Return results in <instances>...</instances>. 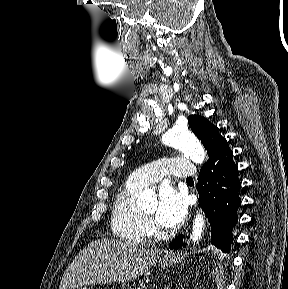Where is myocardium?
Segmentation results:
<instances>
[{"mask_svg": "<svg viewBox=\"0 0 288 289\" xmlns=\"http://www.w3.org/2000/svg\"><path fill=\"white\" fill-rule=\"evenodd\" d=\"M142 215L146 220H151V217L147 216L145 213H142Z\"/></svg>", "mask_w": 288, "mask_h": 289, "instance_id": "f54148a6", "label": "myocardium"}]
</instances>
